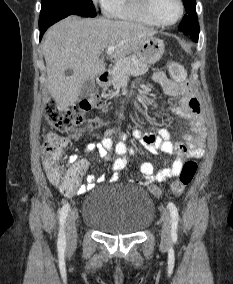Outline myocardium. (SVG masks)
<instances>
[{
  "label": "myocardium",
  "instance_id": "f54148a6",
  "mask_svg": "<svg viewBox=\"0 0 233 284\" xmlns=\"http://www.w3.org/2000/svg\"><path fill=\"white\" fill-rule=\"evenodd\" d=\"M142 1H143V8L146 14L159 26H162V27L173 26L177 24L183 17V14H184L183 0H177V3L179 5V13H178L177 18L172 22H163L157 17L153 9V0H142Z\"/></svg>",
  "mask_w": 233,
  "mask_h": 284
}]
</instances>
